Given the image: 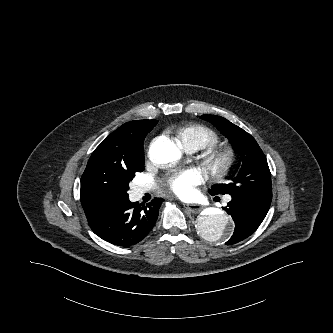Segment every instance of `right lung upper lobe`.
Returning a JSON list of instances; mask_svg holds the SVG:
<instances>
[{
    "label": "right lung upper lobe",
    "instance_id": "cb5924a9",
    "mask_svg": "<svg viewBox=\"0 0 333 333\" xmlns=\"http://www.w3.org/2000/svg\"><path fill=\"white\" fill-rule=\"evenodd\" d=\"M144 120L130 121L112 132L92 153L81 178L80 199L84 212L97 209L109 202L95 194L89 183L93 166L104 161L125 163L143 154Z\"/></svg>",
    "mask_w": 333,
    "mask_h": 333
}]
</instances>
